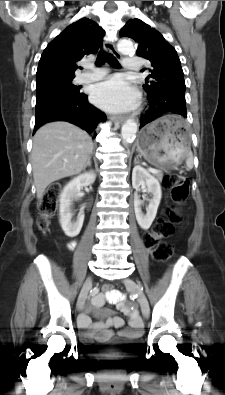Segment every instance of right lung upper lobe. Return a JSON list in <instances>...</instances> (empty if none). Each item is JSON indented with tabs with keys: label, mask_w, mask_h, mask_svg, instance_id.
<instances>
[{
	"label": "right lung upper lobe",
	"mask_w": 225,
	"mask_h": 395,
	"mask_svg": "<svg viewBox=\"0 0 225 395\" xmlns=\"http://www.w3.org/2000/svg\"><path fill=\"white\" fill-rule=\"evenodd\" d=\"M104 33L88 18L69 25L43 51L36 73V87L73 79L78 68L76 62L98 51Z\"/></svg>",
	"instance_id": "cb5924a9"
}]
</instances>
